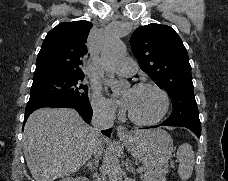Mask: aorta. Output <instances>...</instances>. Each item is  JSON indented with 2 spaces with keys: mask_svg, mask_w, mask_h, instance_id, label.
<instances>
[{
  "mask_svg": "<svg viewBox=\"0 0 228 181\" xmlns=\"http://www.w3.org/2000/svg\"><path fill=\"white\" fill-rule=\"evenodd\" d=\"M126 55V46L116 36H110L101 53L102 66L107 73V83L111 87L114 94L120 93L126 88L127 83L114 79V66ZM108 176L110 181H122V170L117 159L112 156L108 163Z\"/></svg>",
  "mask_w": 228,
  "mask_h": 181,
  "instance_id": "obj_1",
  "label": "aorta"
}]
</instances>
